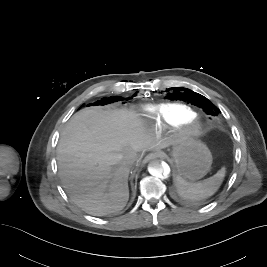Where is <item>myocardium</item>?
Returning a JSON list of instances; mask_svg holds the SVG:
<instances>
[{
    "label": "myocardium",
    "instance_id": "f54148a6",
    "mask_svg": "<svg viewBox=\"0 0 267 267\" xmlns=\"http://www.w3.org/2000/svg\"><path fill=\"white\" fill-rule=\"evenodd\" d=\"M203 130V124L197 116L188 118L180 125V134L186 138H194Z\"/></svg>",
    "mask_w": 267,
    "mask_h": 267
}]
</instances>
